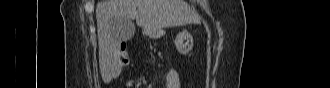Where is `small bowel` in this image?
Segmentation results:
<instances>
[{
    "label": "small bowel",
    "mask_w": 330,
    "mask_h": 88,
    "mask_svg": "<svg viewBox=\"0 0 330 88\" xmlns=\"http://www.w3.org/2000/svg\"><path fill=\"white\" fill-rule=\"evenodd\" d=\"M122 52L126 56V60H125V63H124V65H125L128 62V57H127V53H126L125 49H122ZM165 81H166V88H179L180 87V77H179V74L176 70H170L166 74Z\"/></svg>",
    "instance_id": "1"
}]
</instances>
